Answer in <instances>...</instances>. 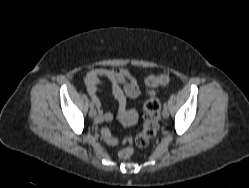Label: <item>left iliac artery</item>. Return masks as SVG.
Returning a JSON list of instances; mask_svg holds the SVG:
<instances>
[{"mask_svg":"<svg viewBox=\"0 0 249 188\" xmlns=\"http://www.w3.org/2000/svg\"><path fill=\"white\" fill-rule=\"evenodd\" d=\"M164 108H168V106H167V103H166V102L164 103Z\"/></svg>","mask_w":249,"mask_h":188,"instance_id":"left-iliac-artery-1","label":"left iliac artery"}]
</instances>
